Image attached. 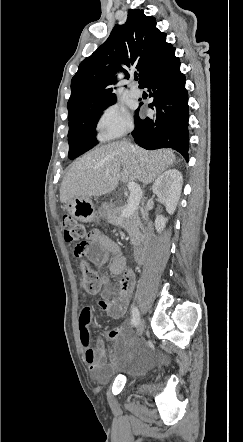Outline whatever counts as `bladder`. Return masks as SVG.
Returning <instances> with one entry per match:
<instances>
[{
  "label": "bladder",
  "instance_id": "bladder-1",
  "mask_svg": "<svg viewBox=\"0 0 243 442\" xmlns=\"http://www.w3.org/2000/svg\"><path fill=\"white\" fill-rule=\"evenodd\" d=\"M149 371V363L142 356H136L128 362L123 375L128 380H136L146 375Z\"/></svg>",
  "mask_w": 243,
  "mask_h": 442
}]
</instances>
